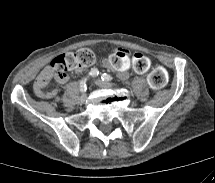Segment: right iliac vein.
<instances>
[{
	"instance_id": "right-iliac-vein-1",
	"label": "right iliac vein",
	"mask_w": 215,
	"mask_h": 183,
	"mask_svg": "<svg viewBox=\"0 0 215 183\" xmlns=\"http://www.w3.org/2000/svg\"><path fill=\"white\" fill-rule=\"evenodd\" d=\"M86 99H87V94H86V93H83V94L81 95V97H80V101L83 103V102L86 101Z\"/></svg>"
}]
</instances>
